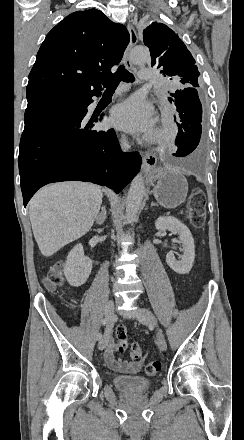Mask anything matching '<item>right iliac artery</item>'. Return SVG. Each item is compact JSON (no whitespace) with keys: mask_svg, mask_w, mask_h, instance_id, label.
<instances>
[{"mask_svg":"<svg viewBox=\"0 0 244 440\" xmlns=\"http://www.w3.org/2000/svg\"><path fill=\"white\" fill-rule=\"evenodd\" d=\"M108 323V319L107 318H104L103 319V321H102V324L103 325H106ZM97 339L100 341V340H102V334L101 333H99L98 335H97Z\"/></svg>","mask_w":244,"mask_h":440,"instance_id":"right-iliac-artery-1","label":"right iliac artery"}]
</instances>
